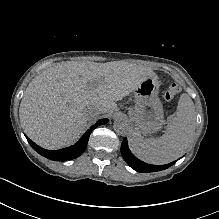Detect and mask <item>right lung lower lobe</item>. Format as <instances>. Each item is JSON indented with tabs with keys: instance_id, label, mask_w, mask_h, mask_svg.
Instances as JSON below:
<instances>
[{
	"instance_id": "1",
	"label": "right lung lower lobe",
	"mask_w": 219,
	"mask_h": 219,
	"mask_svg": "<svg viewBox=\"0 0 219 219\" xmlns=\"http://www.w3.org/2000/svg\"><path fill=\"white\" fill-rule=\"evenodd\" d=\"M108 119L99 120L93 127L86 131V133L80 138V140L71 147L64 148L61 150H45L40 146L36 145L33 141L27 138L29 144L33 147L35 151H37L42 156L54 160V161H66L70 159L77 158L80 156L86 149L87 143L89 140V136L94 128L99 125L106 124Z\"/></svg>"
}]
</instances>
